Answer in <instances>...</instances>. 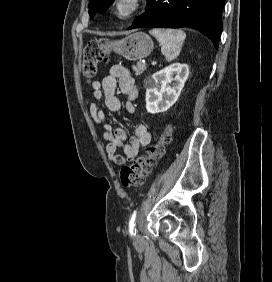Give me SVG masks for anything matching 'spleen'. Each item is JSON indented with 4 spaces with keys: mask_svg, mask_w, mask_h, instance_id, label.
<instances>
[{
    "mask_svg": "<svg viewBox=\"0 0 272 282\" xmlns=\"http://www.w3.org/2000/svg\"><path fill=\"white\" fill-rule=\"evenodd\" d=\"M149 33L160 43L161 51L167 61H173L179 56L186 38L184 31L180 29L153 28Z\"/></svg>",
    "mask_w": 272,
    "mask_h": 282,
    "instance_id": "1",
    "label": "spleen"
}]
</instances>
